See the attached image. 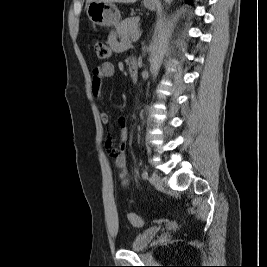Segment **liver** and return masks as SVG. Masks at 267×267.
<instances>
[{"mask_svg":"<svg viewBox=\"0 0 267 267\" xmlns=\"http://www.w3.org/2000/svg\"><path fill=\"white\" fill-rule=\"evenodd\" d=\"M91 1H94V0H87V2H91ZM101 1H104V2H110V3H125V4H130V3H135L137 2L138 0H101Z\"/></svg>","mask_w":267,"mask_h":267,"instance_id":"6515ba94","label":"liver"}]
</instances>
